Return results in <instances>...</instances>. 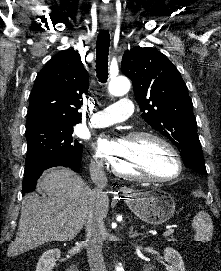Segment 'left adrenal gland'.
Wrapping results in <instances>:
<instances>
[{"instance_id":"a2214340","label":"left adrenal gland","mask_w":221,"mask_h":271,"mask_svg":"<svg viewBox=\"0 0 221 271\" xmlns=\"http://www.w3.org/2000/svg\"><path fill=\"white\" fill-rule=\"evenodd\" d=\"M128 233L129 237H134V235H142V233H137V231H133V225H130Z\"/></svg>"}]
</instances>
